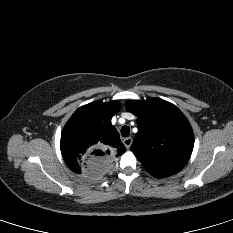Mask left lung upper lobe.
I'll return each instance as SVG.
<instances>
[{
  "label": "left lung upper lobe",
  "instance_id": "left-lung-upper-lobe-1",
  "mask_svg": "<svg viewBox=\"0 0 233 233\" xmlns=\"http://www.w3.org/2000/svg\"><path fill=\"white\" fill-rule=\"evenodd\" d=\"M125 107L137 116L131 151L146 171L163 178L181 170L194 146L193 131L183 113L160 98L127 101Z\"/></svg>",
  "mask_w": 233,
  "mask_h": 233
}]
</instances>
